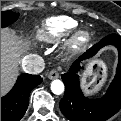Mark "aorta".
Returning a JSON list of instances; mask_svg holds the SVG:
<instances>
[{
    "instance_id": "aorta-1",
    "label": "aorta",
    "mask_w": 121,
    "mask_h": 121,
    "mask_svg": "<svg viewBox=\"0 0 121 121\" xmlns=\"http://www.w3.org/2000/svg\"><path fill=\"white\" fill-rule=\"evenodd\" d=\"M51 91L56 94L60 95L64 92V84L61 80H53L51 83Z\"/></svg>"
}]
</instances>
